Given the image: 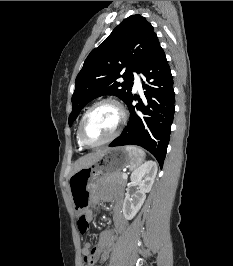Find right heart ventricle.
I'll return each instance as SVG.
<instances>
[{
	"instance_id": "e07e8e85",
	"label": "right heart ventricle",
	"mask_w": 233,
	"mask_h": 266,
	"mask_svg": "<svg viewBox=\"0 0 233 266\" xmlns=\"http://www.w3.org/2000/svg\"><path fill=\"white\" fill-rule=\"evenodd\" d=\"M77 141H78L79 146L82 147V145L80 144V142H79V140H78V137H77Z\"/></svg>"
}]
</instances>
